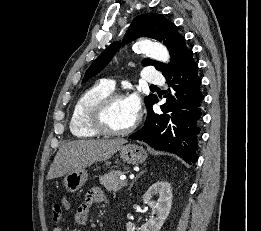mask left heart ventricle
Returning <instances> with one entry per match:
<instances>
[{
  "label": "left heart ventricle",
  "instance_id": "left-heart-ventricle-1",
  "mask_svg": "<svg viewBox=\"0 0 261 231\" xmlns=\"http://www.w3.org/2000/svg\"><path fill=\"white\" fill-rule=\"evenodd\" d=\"M135 118L126 98L116 100L108 112V123L118 130L129 127Z\"/></svg>",
  "mask_w": 261,
  "mask_h": 231
}]
</instances>
